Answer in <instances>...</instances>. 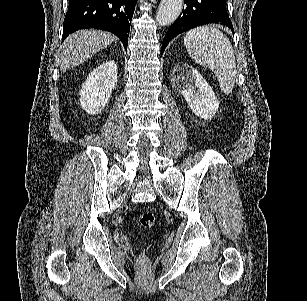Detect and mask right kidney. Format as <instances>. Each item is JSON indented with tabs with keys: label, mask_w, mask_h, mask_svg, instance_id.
Returning a JSON list of instances; mask_svg holds the SVG:
<instances>
[{
	"label": "right kidney",
	"mask_w": 307,
	"mask_h": 301,
	"mask_svg": "<svg viewBox=\"0 0 307 301\" xmlns=\"http://www.w3.org/2000/svg\"><path fill=\"white\" fill-rule=\"evenodd\" d=\"M117 64L115 60L102 62L85 78L81 88L79 102L87 114H100L108 104L110 94L117 86Z\"/></svg>",
	"instance_id": "right-kidney-1"
}]
</instances>
